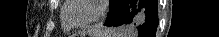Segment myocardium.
Returning <instances> with one entry per match:
<instances>
[{
    "label": "myocardium",
    "instance_id": "obj_1",
    "mask_svg": "<svg viewBox=\"0 0 219 37\" xmlns=\"http://www.w3.org/2000/svg\"><path fill=\"white\" fill-rule=\"evenodd\" d=\"M73 1L71 0H67L66 1V6L62 12V18L63 20L67 23L68 26L72 27V28H85L88 27L94 23H96L97 21H99L102 16L105 14L106 11V0H97V5H98V10L96 12V14L90 18L89 20L82 22V23H75V22H71L68 20L66 13L68 11V9L72 6Z\"/></svg>",
    "mask_w": 219,
    "mask_h": 37
}]
</instances>
